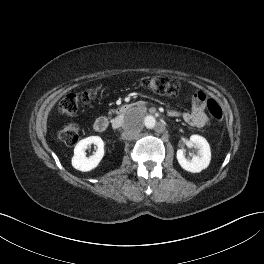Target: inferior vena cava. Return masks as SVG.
Instances as JSON below:
<instances>
[{
  "mask_svg": "<svg viewBox=\"0 0 264 264\" xmlns=\"http://www.w3.org/2000/svg\"><path fill=\"white\" fill-rule=\"evenodd\" d=\"M123 122H124L123 119L117 118V119L113 120L112 126H113V128L121 127Z\"/></svg>",
  "mask_w": 264,
  "mask_h": 264,
  "instance_id": "602c4592",
  "label": "inferior vena cava"
}]
</instances>
